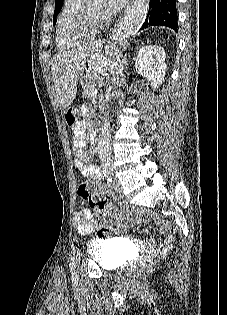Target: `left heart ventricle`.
Here are the masks:
<instances>
[{"instance_id": "b2bd125f", "label": "left heart ventricle", "mask_w": 227, "mask_h": 315, "mask_svg": "<svg viewBox=\"0 0 227 315\" xmlns=\"http://www.w3.org/2000/svg\"><path fill=\"white\" fill-rule=\"evenodd\" d=\"M102 2L99 0H88V8L92 15L101 18Z\"/></svg>"}]
</instances>
